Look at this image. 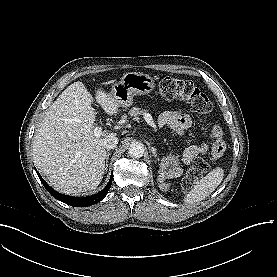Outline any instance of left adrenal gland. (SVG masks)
Wrapping results in <instances>:
<instances>
[{
	"mask_svg": "<svg viewBox=\"0 0 277 277\" xmlns=\"http://www.w3.org/2000/svg\"><path fill=\"white\" fill-rule=\"evenodd\" d=\"M152 153H153V156H156V154H155V152H154V151H153Z\"/></svg>",
	"mask_w": 277,
	"mask_h": 277,
	"instance_id": "obj_1",
	"label": "left adrenal gland"
}]
</instances>
